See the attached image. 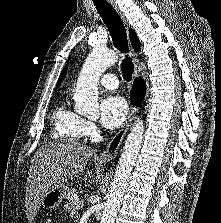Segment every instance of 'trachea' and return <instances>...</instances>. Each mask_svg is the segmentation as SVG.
Segmentation results:
<instances>
[{
    "label": "trachea",
    "instance_id": "trachea-1",
    "mask_svg": "<svg viewBox=\"0 0 221 223\" xmlns=\"http://www.w3.org/2000/svg\"><path fill=\"white\" fill-rule=\"evenodd\" d=\"M95 7L108 27L114 46L125 54L121 63V71L126 81L132 79L134 65L132 59L128 56V41L125 26L114 8L107 0H93Z\"/></svg>",
    "mask_w": 221,
    "mask_h": 223
}]
</instances>
